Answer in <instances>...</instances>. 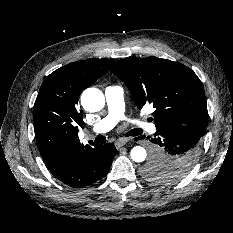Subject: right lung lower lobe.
I'll return each instance as SVG.
<instances>
[{
	"mask_svg": "<svg viewBox=\"0 0 233 233\" xmlns=\"http://www.w3.org/2000/svg\"><path fill=\"white\" fill-rule=\"evenodd\" d=\"M87 145L51 168V173L64 184L81 188L101 179L110 169L116 154L114 144Z\"/></svg>",
	"mask_w": 233,
	"mask_h": 233,
	"instance_id": "obj_1",
	"label": "right lung lower lobe"
}]
</instances>
